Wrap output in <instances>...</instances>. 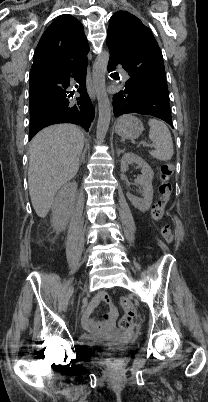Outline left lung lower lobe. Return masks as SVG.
Masks as SVG:
<instances>
[{"mask_svg":"<svg viewBox=\"0 0 208 402\" xmlns=\"http://www.w3.org/2000/svg\"><path fill=\"white\" fill-rule=\"evenodd\" d=\"M107 46L110 50L107 70L111 72L115 70L118 64H121L127 71L126 57L122 51L109 42H107ZM112 100L115 117L129 113L151 115L164 120L173 127L169 100L138 83H134L131 79L125 83L118 93L114 94Z\"/></svg>","mask_w":208,"mask_h":402,"instance_id":"obj_1","label":"left lung lower lobe"}]
</instances>
